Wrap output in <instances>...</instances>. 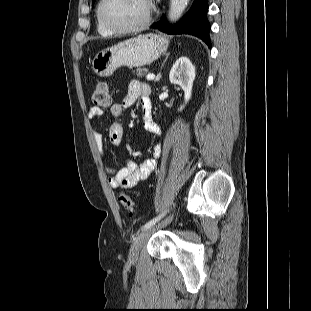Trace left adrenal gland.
Segmentation results:
<instances>
[{
	"label": "left adrenal gland",
	"instance_id": "obj_1",
	"mask_svg": "<svg viewBox=\"0 0 311 311\" xmlns=\"http://www.w3.org/2000/svg\"><path fill=\"white\" fill-rule=\"evenodd\" d=\"M169 54H170V53H167V54H166V57H165V60H164L163 64L167 61V59H168V57H169Z\"/></svg>",
	"mask_w": 311,
	"mask_h": 311
}]
</instances>
